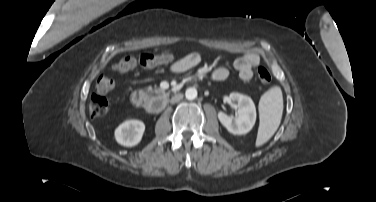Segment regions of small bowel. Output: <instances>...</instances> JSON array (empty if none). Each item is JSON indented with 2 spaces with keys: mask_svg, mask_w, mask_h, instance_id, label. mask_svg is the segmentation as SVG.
<instances>
[{
  "mask_svg": "<svg viewBox=\"0 0 376 202\" xmlns=\"http://www.w3.org/2000/svg\"><path fill=\"white\" fill-rule=\"evenodd\" d=\"M200 61V54L194 51L171 64L169 70L170 72L175 74L184 73L195 68L200 63ZM260 61L261 57L259 53L255 51H248L243 53L234 61V68L236 69L242 80L248 81L253 76V68L259 65ZM228 74V69L223 66H217L210 70V78L214 81L223 80L228 76Z\"/></svg>",
  "mask_w": 376,
  "mask_h": 202,
  "instance_id": "c3829d8e",
  "label": "small bowel"
}]
</instances>
